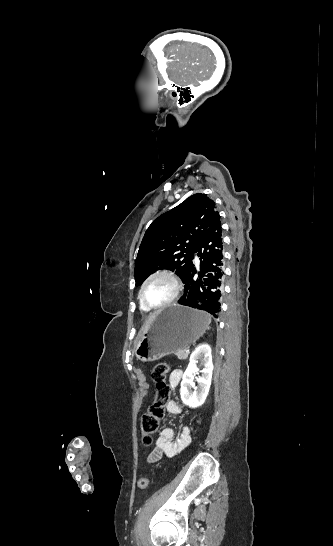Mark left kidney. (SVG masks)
Listing matches in <instances>:
<instances>
[{"label": "left kidney", "mask_w": 333, "mask_h": 546, "mask_svg": "<svg viewBox=\"0 0 333 546\" xmlns=\"http://www.w3.org/2000/svg\"><path fill=\"white\" fill-rule=\"evenodd\" d=\"M198 360H202L204 368L200 371L202 375L196 377L198 390L192 392L190 388L194 384L195 375L199 372L197 368ZM212 371L211 347L205 343L200 344L191 354L188 367L182 378L180 396L184 404L190 408H197L204 403L211 385Z\"/></svg>", "instance_id": "1"}]
</instances>
